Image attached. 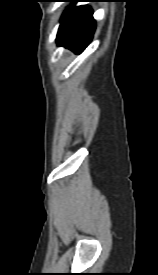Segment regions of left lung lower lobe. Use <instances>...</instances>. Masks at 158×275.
I'll list each match as a JSON object with an SVG mask.
<instances>
[{
    "label": "left lung lower lobe",
    "instance_id": "1",
    "mask_svg": "<svg viewBox=\"0 0 158 275\" xmlns=\"http://www.w3.org/2000/svg\"><path fill=\"white\" fill-rule=\"evenodd\" d=\"M76 3L79 0H65ZM93 11L90 6L74 7L72 4L65 10L57 34L58 46L81 53L91 42L96 28L93 18Z\"/></svg>",
    "mask_w": 158,
    "mask_h": 275
}]
</instances>
